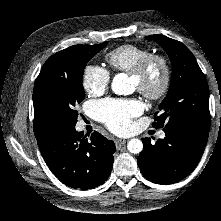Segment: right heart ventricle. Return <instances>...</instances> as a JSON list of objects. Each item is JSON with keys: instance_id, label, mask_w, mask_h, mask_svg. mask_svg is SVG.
<instances>
[{"instance_id": "e07e8e85", "label": "right heart ventricle", "mask_w": 221, "mask_h": 221, "mask_svg": "<svg viewBox=\"0 0 221 221\" xmlns=\"http://www.w3.org/2000/svg\"><path fill=\"white\" fill-rule=\"evenodd\" d=\"M150 53L151 51L147 48L124 44L109 51L105 55V60L112 73H129Z\"/></svg>"}]
</instances>
